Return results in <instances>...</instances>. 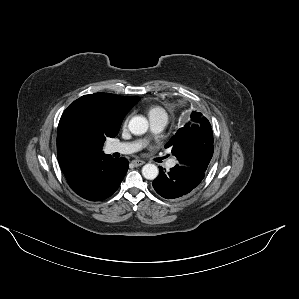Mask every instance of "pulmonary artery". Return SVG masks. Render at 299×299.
<instances>
[{
	"label": "pulmonary artery",
	"instance_id": "1",
	"mask_svg": "<svg viewBox=\"0 0 299 299\" xmlns=\"http://www.w3.org/2000/svg\"><path fill=\"white\" fill-rule=\"evenodd\" d=\"M149 121L151 133L154 135L161 132L166 127L168 123V116L166 113H159L153 117H150ZM144 143V141L113 143L109 146L108 150L110 153L130 154L138 151L144 145ZM175 164V159H170L167 161L168 168L174 167Z\"/></svg>",
	"mask_w": 299,
	"mask_h": 299
}]
</instances>
